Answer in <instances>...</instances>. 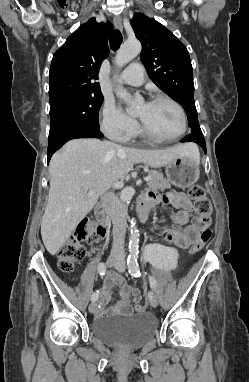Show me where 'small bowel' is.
I'll return each mask as SVG.
<instances>
[{
  "label": "small bowel",
  "instance_id": "small-bowel-1",
  "mask_svg": "<svg viewBox=\"0 0 249 382\" xmlns=\"http://www.w3.org/2000/svg\"><path fill=\"white\" fill-rule=\"evenodd\" d=\"M149 202L150 206L155 204L171 205L177 209L172 215V220L176 225L175 228L165 229L163 235L166 239L174 243L178 247L186 248L199 237V230L193 224H188L193 216V204L191 200L183 193L166 192L159 196L154 191H149L144 198ZM96 250L93 248L91 252ZM116 285L119 287L120 300L112 308H107L110 300V288ZM139 295L132 286L127 284L125 278L118 273L110 272L107 274L101 289V298L97 304V314L99 317H106L117 314H129L130 295Z\"/></svg>",
  "mask_w": 249,
  "mask_h": 382
}]
</instances>
